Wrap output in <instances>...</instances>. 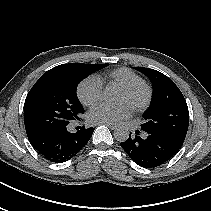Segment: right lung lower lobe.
Instances as JSON below:
<instances>
[{
    "instance_id": "98d812e1",
    "label": "right lung lower lobe",
    "mask_w": 211,
    "mask_h": 211,
    "mask_svg": "<svg viewBox=\"0 0 211 211\" xmlns=\"http://www.w3.org/2000/svg\"><path fill=\"white\" fill-rule=\"evenodd\" d=\"M94 128L82 127L75 133L67 129V125L26 131L28 140L37 152L45 159L61 163L70 160L89 141Z\"/></svg>"
}]
</instances>
